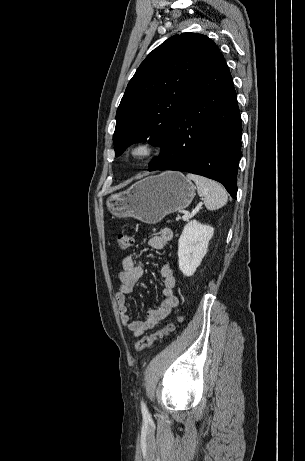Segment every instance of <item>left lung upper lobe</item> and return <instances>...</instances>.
<instances>
[{
    "label": "left lung upper lobe",
    "instance_id": "1",
    "mask_svg": "<svg viewBox=\"0 0 305 461\" xmlns=\"http://www.w3.org/2000/svg\"><path fill=\"white\" fill-rule=\"evenodd\" d=\"M220 55L210 38L195 33L174 35L154 49L128 83L117 109L116 156L146 139L162 153L172 121Z\"/></svg>",
    "mask_w": 305,
    "mask_h": 461
}]
</instances>
